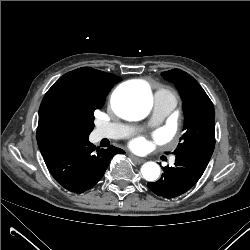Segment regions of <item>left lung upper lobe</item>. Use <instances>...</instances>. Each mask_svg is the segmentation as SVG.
<instances>
[{"instance_id": "obj_1", "label": "left lung upper lobe", "mask_w": 250, "mask_h": 250, "mask_svg": "<svg viewBox=\"0 0 250 250\" xmlns=\"http://www.w3.org/2000/svg\"><path fill=\"white\" fill-rule=\"evenodd\" d=\"M162 76L174 83L183 100L184 135L174 154L191 147L215 145V111L211 100L199 83L188 73L173 69Z\"/></svg>"}]
</instances>
